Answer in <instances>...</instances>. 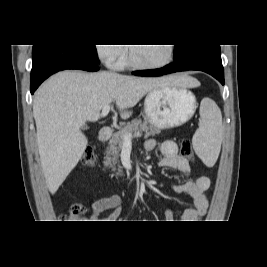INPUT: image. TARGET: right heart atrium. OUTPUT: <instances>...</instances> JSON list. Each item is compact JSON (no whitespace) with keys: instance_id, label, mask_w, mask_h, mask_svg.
<instances>
[{"instance_id":"d8ad5b80","label":"right heart atrium","mask_w":267,"mask_h":267,"mask_svg":"<svg viewBox=\"0 0 267 267\" xmlns=\"http://www.w3.org/2000/svg\"><path fill=\"white\" fill-rule=\"evenodd\" d=\"M96 53L107 67L117 69L120 67L124 48L120 45H97Z\"/></svg>"}]
</instances>
